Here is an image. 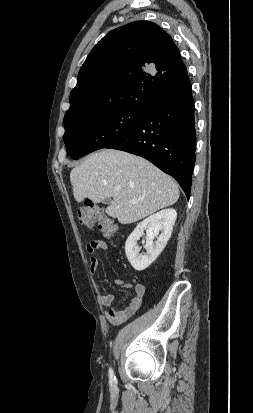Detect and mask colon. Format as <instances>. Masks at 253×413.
Returning <instances> with one entry per match:
<instances>
[{"label": "colon", "mask_w": 253, "mask_h": 413, "mask_svg": "<svg viewBox=\"0 0 253 413\" xmlns=\"http://www.w3.org/2000/svg\"><path fill=\"white\" fill-rule=\"evenodd\" d=\"M78 221L86 229H91L97 222L103 235L109 239L116 234L113 220L105 214L100 206L94 203H86L78 209Z\"/></svg>", "instance_id": "1"}]
</instances>
